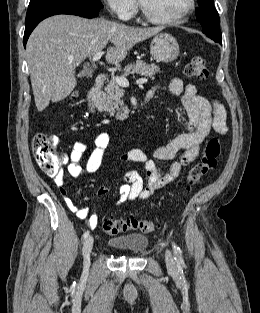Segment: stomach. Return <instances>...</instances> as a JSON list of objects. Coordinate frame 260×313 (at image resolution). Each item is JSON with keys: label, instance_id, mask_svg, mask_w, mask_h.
Returning <instances> with one entry per match:
<instances>
[{"label": "stomach", "instance_id": "1", "mask_svg": "<svg viewBox=\"0 0 260 313\" xmlns=\"http://www.w3.org/2000/svg\"><path fill=\"white\" fill-rule=\"evenodd\" d=\"M150 53L157 61L172 62L179 55V45L172 35L160 33L154 36L150 45Z\"/></svg>", "mask_w": 260, "mask_h": 313}]
</instances>
